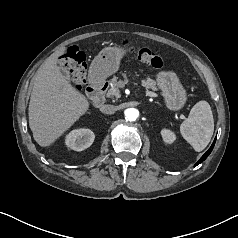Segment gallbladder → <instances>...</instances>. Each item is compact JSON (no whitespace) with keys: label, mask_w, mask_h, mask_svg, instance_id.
<instances>
[{"label":"gallbladder","mask_w":238,"mask_h":238,"mask_svg":"<svg viewBox=\"0 0 238 238\" xmlns=\"http://www.w3.org/2000/svg\"><path fill=\"white\" fill-rule=\"evenodd\" d=\"M60 71L66 78H69V73L65 69L61 68Z\"/></svg>","instance_id":"gallbladder-1"}]
</instances>
